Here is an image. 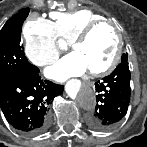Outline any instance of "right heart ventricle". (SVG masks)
I'll use <instances>...</instances> for the list:
<instances>
[{"instance_id": "right-heart-ventricle-1", "label": "right heart ventricle", "mask_w": 147, "mask_h": 147, "mask_svg": "<svg viewBox=\"0 0 147 147\" xmlns=\"http://www.w3.org/2000/svg\"><path fill=\"white\" fill-rule=\"evenodd\" d=\"M55 35L71 42V40L89 24L104 18L90 10L78 9L70 12H53Z\"/></svg>"}]
</instances>
